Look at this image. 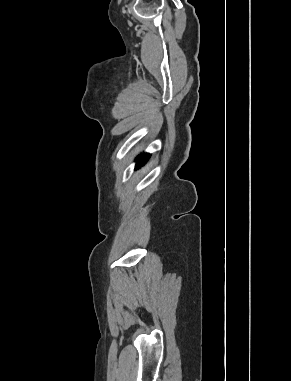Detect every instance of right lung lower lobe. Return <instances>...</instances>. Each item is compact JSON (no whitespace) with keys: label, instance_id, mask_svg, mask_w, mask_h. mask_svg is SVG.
<instances>
[{"label":"right lung lower lobe","instance_id":"obj_1","mask_svg":"<svg viewBox=\"0 0 291 381\" xmlns=\"http://www.w3.org/2000/svg\"><path fill=\"white\" fill-rule=\"evenodd\" d=\"M149 157H150V154H147V153L144 155H140L137 158L136 169L140 168V166H142L148 160Z\"/></svg>","mask_w":291,"mask_h":381}]
</instances>
